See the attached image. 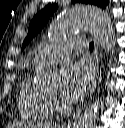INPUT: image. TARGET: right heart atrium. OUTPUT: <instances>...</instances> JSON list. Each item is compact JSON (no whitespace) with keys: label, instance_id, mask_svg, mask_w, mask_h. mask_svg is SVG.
I'll return each instance as SVG.
<instances>
[{"label":"right heart atrium","instance_id":"1","mask_svg":"<svg viewBox=\"0 0 125 128\" xmlns=\"http://www.w3.org/2000/svg\"><path fill=\"white\" fill-rule=\"evenodd\" d=\"M51 102L53 103V106L56 104V101L55 100H52L51 99Z\"/></svg>","mask_w":125,"mask_h":128}]
</instances>
